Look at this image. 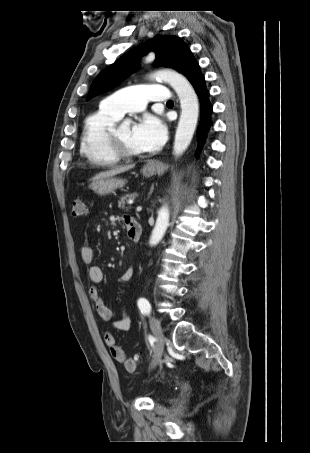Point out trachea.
I'll return each mask as SVG.
<instances>
[{"instance_id": "3493384b", "label": "trachea", "mask_w": 310, "mask_h": 453, "mask_svg": "<svg viewBox=\"0 0 310 453\" xmlns=\"http://www.w3.org/2000/svg\"><path fill=\"white\" fill-rule=\"evenodd\" d=\"M166 104H167V105H171V104H173V101H172V100H169Z\"/></svg>"}]
</instances>
